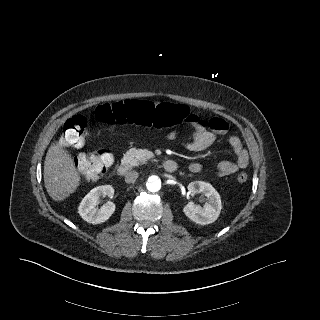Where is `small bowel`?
Instances as JSON below:
<instances>
[{
    "label": "small bowel",
    "mask_w": 320,
    "mask_h": 320,
    "mask_svg": "<svg viewBox=\"0 0 320 320\" xmlns=\"http://www.w3.org/2000/svg\"><path fill=\"white\" fill-rule=\"evenodd\" d=\"M184 109L186 114L184 121L192 128L191 138L184 144L188 151L201 152L210 147L219 135L226 133L228 125L225 120L214 117L206 124L198 115L191 113L186 107ZM207 126L209 129H207ZM176 137V132H171L168 135V138L171 140ZM229 145L236 159L235 161L222 160L218 162L216 170L219 176L234 174L238 170L246 168L249 163L248 152L238 136H231L229 138ZM188 169L191 173L196 174L202 170V165L198 162H193L189 165Z\"/></svg>",
    "instance_id": "obj_1"
}]
</instances>
